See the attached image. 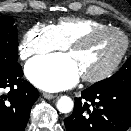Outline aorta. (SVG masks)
Instances as JSON below:
<instances>
[{"label": "aorta", "instance_id": "1", "mask_svg": "<svg viewBox=\"0 0 131 131\" xmlns=\"http://www.w3.org/2000/svg\"><path fill=\"white\" fill-rule=\"evenodd\" d=\"M73 101L68 96H62L57 102V109L61 113H69L73 109Z\"/></svg>", "mask_w": 131, "mask_h": 131}]
</instances>
